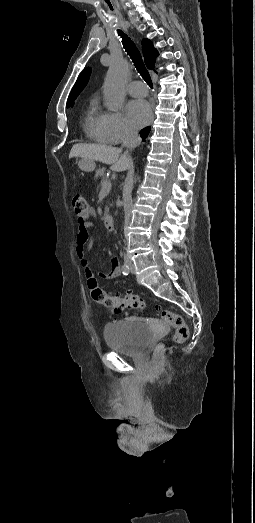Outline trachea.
Instances as JSON below:
<instances>
[{
    "label": "trachea",
    "mask_w": 255,
    "mask_h": 523,
    "mask_svg": "<svg viewBox=\"0 0 255 523\" xmlns=\"http://www.w3.org/2000/svg\"><path fill=\"white\" fill-rule=\"evenodd\" d=\"M118 35H120L122 37V43L125 48V51L130 56L137 71L140 73L141 77L145 80V82L149 85V87L153 88V83H152L150 74L148 73V70L146 69V67L144 65L141 54H140L138 48L136 47L135 43L131 40V38H129L121 30H118Z\"/></svg>",
    "instance_id": "1"
}]
</instances>
